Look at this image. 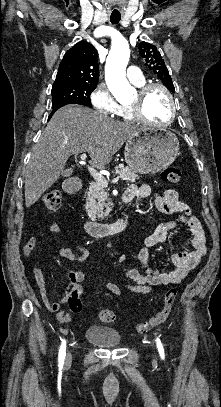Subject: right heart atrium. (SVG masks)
Instances as JSON below:
<instances>
[{"label":"right heart atrium","mask_w":221,"mask_h":407,"mask_svg":"<svg viewBox=\"0 0 221 407\" xmlns=\"http://www.w3.org/2000/svg\"><path fill=\"white\" fill-rule=\"evenodd\" d=\"M89 98L94 109L100 113L114 115L119 108L110 90L103 84L97 85Z\"/></svg>","instance_id":"right-heart-atrium-1"}]
</instances>
